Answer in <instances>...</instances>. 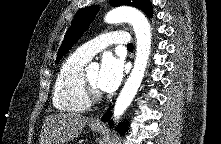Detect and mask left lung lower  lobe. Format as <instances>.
Instances as JSON below:
<instances>
[{"label":"left lung lower lobe","mask_w":221,"mask_h":144,"mask_svg":"<svg viewBox=\"0 0 221 144\" xmlns=\"http://www.w3.org/2000/svg\"><path fill=\"white\" fill-rule=\"evenodd\" d=\"M110 118H111V113H106V114L102 117V121H104V122L109 121ZM109 124L112 126L113 121L110 120V121H109ZM126 128H127V124H126V123H120V124L118 125V131H119L120 133H124L125 130H126Z\"/></svg>","instance_id":"obj_1"}]
</instances>
